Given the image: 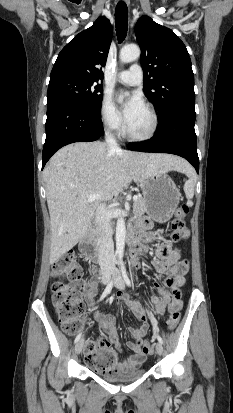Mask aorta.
Listing matches in <instances>:
<instances>
[{"instance_id": "1", "label": "aorta", "mask_w": 233, "mask_h": 413, "mask_svg": "<svg viewBox=\"0 0 233 413\" xmlns=\"http://www.w3.org/2000/svg\"><path fill=\"white\" fill-rule=\"evenodd\" d=\"M141 50L136 45L125 46L121 49L119 59L122 63H129L140 57ZM126 227L124 217H119L116 225V253L118 261L122 263L125 248Z\"/></svg>"}]
</instances>
